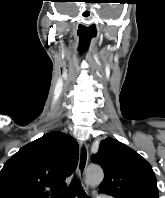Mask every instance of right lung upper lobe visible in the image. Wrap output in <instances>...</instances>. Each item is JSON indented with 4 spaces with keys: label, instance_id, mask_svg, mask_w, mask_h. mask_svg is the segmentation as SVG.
<instances>
[{
    "label": "right lung upper lobe",
    "instance_id": "obj_1",
    "mask_svg": "<svg viewBox=\"0 0 165 198\" xmlns=\"http://www.w3.org/2000/svg\"><path fill=\"white\" fill-rule=\"evenodd\" d=\"M78 161L76 140L51 132L22 147L0 172V198H49L66 187ZM53 197V196H52Z\"/></svg>",
    "mask_w": 165,
    "mask_h": 198
}]
</instances>
